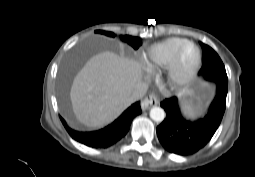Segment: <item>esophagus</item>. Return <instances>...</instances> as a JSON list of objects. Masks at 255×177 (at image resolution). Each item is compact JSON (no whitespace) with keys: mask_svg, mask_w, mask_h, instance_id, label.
Listing matches in <instances>:
<instances>
[{"mask_svg":"<svg viewBox=\"0 0 255 177\" xmlns=\"http://www.w3.org/2000/svg\"><path fill=\"white\" fill-rule=\"evenodd\" d=\"M158 104V100L154 95H148L141 102L142 110H148L150 107Z\"/></svg>","mask_w":255,"mask_h":177,"instance_id":"obj_1","label":"esophagus"}]
</instances>
